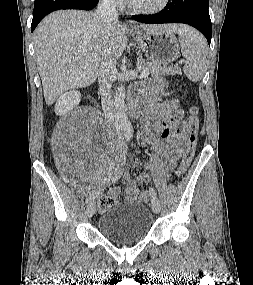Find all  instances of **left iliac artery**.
Segmentation results:
<instances>
[{"label":"left iliac artery","mask_w":253,"mask_h":285,"mask_svg":"<svg viewBox=\"0 0 253 285\" xmlns=\"http://www.w3.org/2000/svg\"><path fill=\"white\" fill-rule=\"evenodd\" d=\"M149 193H150V196H151L152 198H156L157 194H156V191H155L154 188L151 187V188L149 189Z\"/></svg>","instance_id":"left-iliac-artery-1"}]
</instances>
